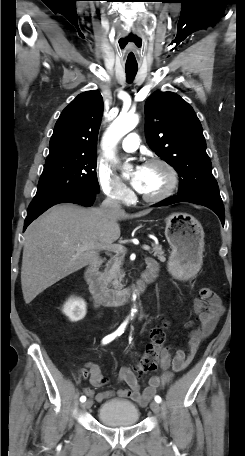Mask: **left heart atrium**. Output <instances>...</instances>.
Wrapping results in <instances>:
<instances>
[{"label": "left heart atrium", "instance_id": "obj_1", "mask_svg": "<svg viewBox=\"0 0 245 456\" xmlns=\"http://www.w3.org/2000/svg\"><path fill=\"white\" fill-rule=\"evenodd\" d=\"M142 177H143V167L138 166V167H136V169L133 173V176H132V180H131L132 186L138 191H140L142 188Z\"/></svg>", "mask_w": 245, "mask_h": 456}]
</instances>
